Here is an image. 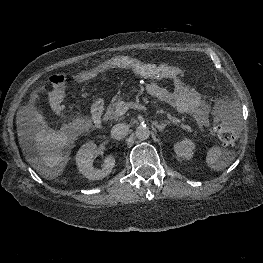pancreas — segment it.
<instances>
[{
  "mask_svg": "<svg viewBox=\"0 0 263 263\" xmlns=\"http://www.w3.org/2000/svg\"><path fill=\"white\" fill-rule=\"evenodd\" d=\"M123 99V97L118 94V95H115L111 101V104L108 106L107 110H106V114H105V118L106 119H117L118 117L116 116L115 114V110H116V107H117V104ZM143 100L145 103H148V99L147 97H143ZM153 104L156 105L157 102L156 101H153ZM158 113H166L164 110H158L157 111ZM167 114V117L170 121H172L173 123L175 124H179L181 121L179 119H177L176 117L174 116H171V114L169 113H166ZM180 127L186 131H192V128L184 123L180 124Z\"/></svg>",
  "mask_w": 263,
  "mask_h": 263,
  "instance_id": "cf45deb5",
  "label": "pancreas"
}]
</instances>
